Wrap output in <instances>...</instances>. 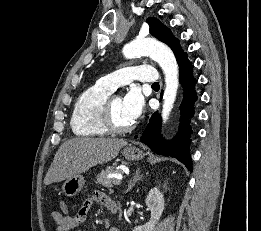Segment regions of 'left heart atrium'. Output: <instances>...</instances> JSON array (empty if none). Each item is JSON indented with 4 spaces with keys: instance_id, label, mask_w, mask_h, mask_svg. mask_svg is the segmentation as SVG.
Masks as SVG:
<instances>
[{
    "instance_id": "obj_1",
    "label": "left heart atrium",
    "mask_w": 261,
    "mask_h": 231,
    "mask_svg": "<svg viewBox=\"0 0 261 231\" xmlns=\"http://www.w3.org/2000/svg\"><path fill=\"white\" fill-rule=\"evenodd\" d=\"M125 112L132 121L137 120L144 109V98L138 88H132L123 98Z\"/></svg>"
}]
</instances>
